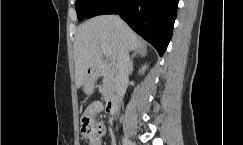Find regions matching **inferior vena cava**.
I'll use <instances>...</instances> for the list:
<instances>
[{"mask_svg": "<svg viewBox=\"0 0 243 145\" xmlns=\"http://www.w3.org/2000/svg\"><path fill=\"white\" fill-rule=\"evenodd\" d=\"M132 70V62L129 56V51L124 47L118 59V71L115 79V88L117 93V98L121 100L126 92L129 73Z\"/></svg>", "mask_w": 243, "mask_h": 145, "instance_id": "inferior-vena-cava-1", "label": "inferior vena cava"}]
</instances>
